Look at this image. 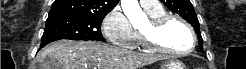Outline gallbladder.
I'll return each instance as SVG.
<instances>
[{
    "label": "gallbladder",
    "instance_id": "bac80fb5",
    "mask_svg": "<svg viewBox=\"0 0 246 69\" xmlns=\"http://www.w3.org/2000/svg\"><path fill=\"white\" fill-rule=\"evenodd\" d=\"M59 65L54 62L51 58H46L44 60V65L40 66L39 69H61V67H58Z\"/></svg>",
    "mask_w": 246,
    "mask_h": 69
}]
</instances>
